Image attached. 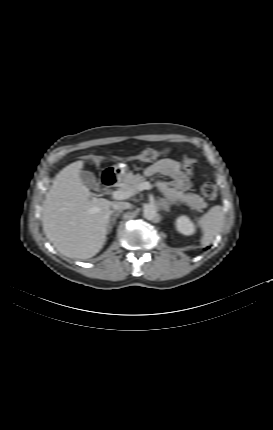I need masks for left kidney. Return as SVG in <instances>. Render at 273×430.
<instances>
[{"label": "left kidney", "instance_id": "5707ae66", "mask_svg": "<svg viewBox=\"0 0 273 430\" xmlns=\"http://www.w3.org/2000/svg\"><path fill=\"white\" fill-rule=\"evenodd\" d=\"M177 230L184 235H192L195 232L194 224L187 216H181L176 220Z\"/></svg>", "mask_w": 273, "mask_h": 430}]
</instances>
